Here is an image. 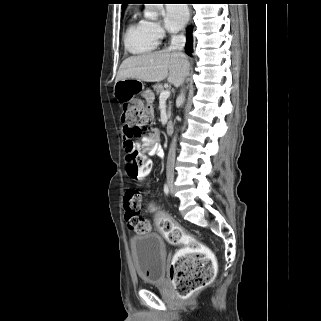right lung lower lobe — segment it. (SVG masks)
<instances>
[{"mask_svg": "<svg viewBox=\"0 0 321 321\" xmlns=\"http://www.w3.org/2000/svg\"><path fill=\"white\" fill-rule=\"evenodd\" d=\"M186 37H187V41H186V53L188 55H190V53L192 52V28L188 27L186 30Z\"/></svg>", "mask_w": 321, "mask_h": 321, "instance_id": "obj_1", "label": "right lung lower lobe"}]
</instances>
